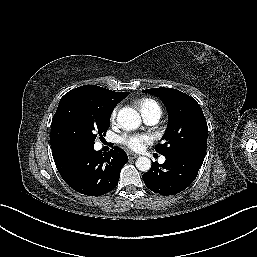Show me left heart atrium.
Returning a JSON list of instances; mask_svg holds the SVG:
<instances>
[{"instance_id": "obj_1", "label": "left heart atrium", "mask_w": 257, "mask_h": 257, "mask_svg": "<svg viewBox=\"0 0 257 257\" xmlns=\"http://www.w3.org/2000/svg\"><path fill=\"white\" fill-rule=\"evenodd\" d=\"M152 137L149 134H123L120 138V142L127 146L128 148L139 151L144 148V146L151 142Z\"/></svg>"}]
</instances>
